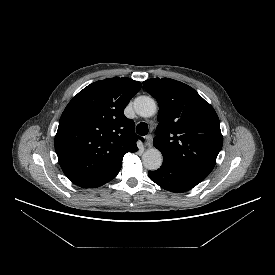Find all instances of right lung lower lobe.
I'll return each mask as SVG.
<instances>
[{
  "mask_svg": "<svg viewBox=\"0 0 275 275\" xmlns=\"http://www.w3.org/2000/svg\"><path fill=\"white\" fill-rule=\"evenodd\" d=\"M118 173H116L115 175H113L112 177H110L109 179L101 182V183H98L97 185L93 186L92 188H95V187H99L101 185H104L105 183L109 182L110 180H112Z\"/></svg>",
  "mask_w": 275,
  "mask_h": 275,
  "instance_id": "1",
  "label": "right lung lower lobe"
}]
</instances>
